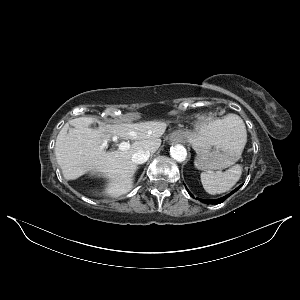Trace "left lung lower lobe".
Wrapping results in <instances>:
<instances>
[{
  "mask_svg": "<svg viewBox=\"0 0 300 300\" xmlns=\"http://www.w3.org/2000/svg\"><path fill=\"white\" fill-rule=\"evenodd\" d=\"M187 189V188H186ZM238 189V188H237ZM237 189H235L234 191H232L230 194L224 196V197H221L219 199H212V200H203V199H199L200 201H202L203 203H206V204H220L222 203L223 201H225L230 195H232ZM188 193L190 194V196L193 197V195L189 192V190L187 189Z\"/></svg>",
  "mask_w": 300,
  "mask_h": 300,
  "instance_id": "0a47b994",
  "label": "left lung lower lobe"
}]
</instances>
